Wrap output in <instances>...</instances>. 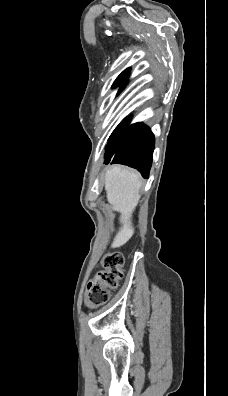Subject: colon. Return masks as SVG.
Instances as JSON below:
<instances>
[{
  "label": "colon",
  "instance_id": "5ec220e1",
  "mask_svg": "<svg viewBox=\"0 0 228 396\" xmlns=\"http://www.w3.org/2000/svg\"><path fill=\"white\" fill-rule=\"evenodd\" d=\"M124 258L119 252L106 254L101 261V270L88 283L85 303L91 308L105 304L110 298V291L118 286L123 275Z\"/></svg>",
  "mask_w": 228,
  "mask_h": 396
}]
</instances>
